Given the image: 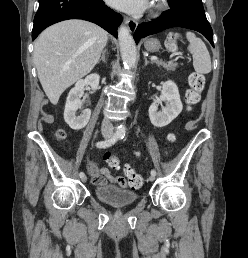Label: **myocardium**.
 Here are the masks:
<instances>
[{
  "label": "myocardium",
  "instance_id": "myocardium-1",
  "mask_svg": "<svg viewBox=\"0 0 248 258\" xmlns=\"http://www.w3.org/2000/svg\"><path fill=\"white\" fill-rule=\"evenodd\" d=\"M166 0H156V3L153 6L154 11H160L164 8Z\"/></svg>",
  "mask_w": 248,
  "mask_h": 258
}]
</instances>
